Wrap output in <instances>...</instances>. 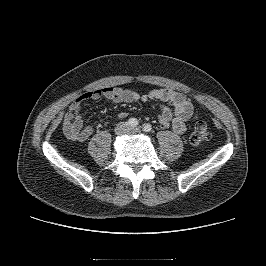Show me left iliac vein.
I'll return each instance as SVG.
<instances>
[{
  "instance_id": "obj_1",
  "label": "left iliac vein",
  "mask_w": 266,
  "mask_h": 266,
  "mask_svg": "<svg viewBox=\"0 0 266 266\" xmlns=\"http://www.w3.org/2000/svg\"><path fill=\"white\" fill-rule=\"evenodd\" d=\"M140 132L141 130L139 128H128V131H127L128 134H137Z\"/></svg>"
}]
</instances>
